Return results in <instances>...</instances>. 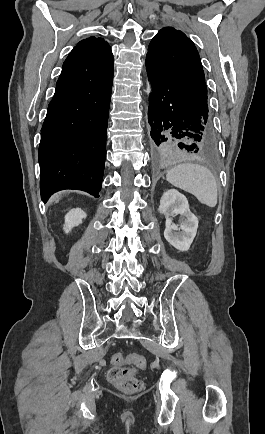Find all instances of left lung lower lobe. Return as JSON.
<instances>
[{"label": "left lung lower lobe", "mask_w": 265, "mask_h": 434, "mask_svg": "<svg viewBox=\"0 0 265 434\" xmlns=\"http://www.w3.org/2000/svg\"><path fill=\"white\" fill-rule=\"evenodd\" d=\"M146 69L153 88L148 121L154 151L165 155L179 147L188 152L213 153L217 147V137L208 107L201 106L148 57Z\"/></svg>", "instance_id": "left-lung-lower-lobe-1"}]
</instances>
